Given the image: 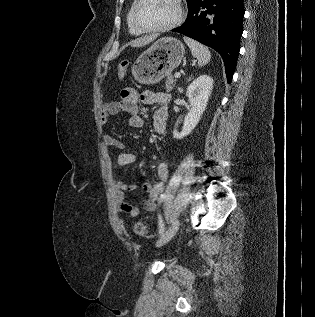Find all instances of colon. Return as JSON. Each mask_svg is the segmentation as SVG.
<instances>
[{
    "label": "colon",
    "mask_w": 315,
    "mask_h": 317,
    "mask_svg": "<svg viewBox=\"0 0 315 317\" xmlns=\"http://www.w3.org/2000/svg\"><path fill=\"white\" fill-rule=\"evenodd\" d=\"M129 66V62L127 60H124L122 62L119 63L118 67H117V75L119 79H122L128 69ZM134 232L138 235V236H145L146 235V227L143 223L141 222H137L134 225Z\"/></svg>",
    "instance_id": "5ec220e1"
}]
</instances>
